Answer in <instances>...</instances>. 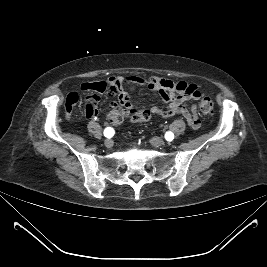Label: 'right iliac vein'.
<instances>
[{
  "label": "right iliac vein",
  "mask_w": 267,
  "mask_h": 267,
  "mask_svg": "<svg viewBox=\"0 0 267 267\" xmlns=\"http://www.w3.org/2000/svg\"><path fill=\"white\" fill-rule=\"evenodd\" d=\"M104 145L107 147V148H110L113 146V141L111 139H106L104 141Z\"/></svg>",
  "instance_id": "1"
}]
</instances>
